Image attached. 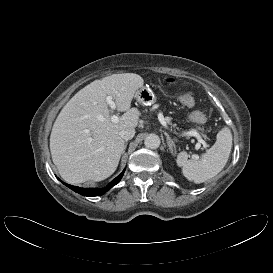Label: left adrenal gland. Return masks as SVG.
<instances>
[{
	"mask_svg": "<svg viewBox=\"0 0 273 273\" xmlns=\"http://www.w3.org/2000/svg\"><path fill=\"white\" fill-rule=\"evenodd\" d=\"M165 136H166V139H167V145L169 147V151L174 154V151L176 150V146H175V143L174 141L170 138L169 134L168 133H164Z\"/></svg>",
	"mask_w": 273,
	"mask_h": 273,
	"instance_id": "obj_1",
	"label": "left adrenal gland"
}]
</instances>
